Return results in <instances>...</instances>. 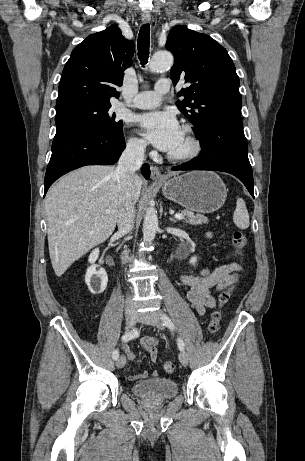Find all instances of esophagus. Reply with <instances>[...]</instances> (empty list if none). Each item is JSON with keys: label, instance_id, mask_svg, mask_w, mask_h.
Returning <instances> with one entry per match:
<instances>
[{"label": "esophagus", "instance_id": "34e87169", "mask_svg": "<svg viewBox=\"0 0 305 461\" xmlns=\"http://www.w3.org/2000/svg\"><path fill=\"white\" fill-rule=\"evenodd\" d=\"M151 21V17L150 16H146V15H143L142 16V22L144 24H147ZM151 179L153 181H163L165 178L164 176L162 175L160 169L156 166H151Z\"/></svg>", "mask_w": 305, "mask_h": 461}]
</instances>
